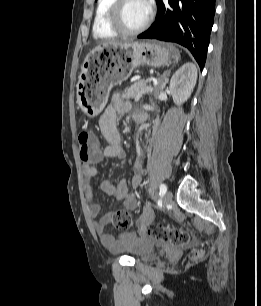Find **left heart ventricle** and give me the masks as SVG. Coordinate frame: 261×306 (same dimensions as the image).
<instances>
[{
  "instance_id": "1",
  "label": "left heart ventricle",
  "mask_w": 261,
  "mask_h": 306,
  "mask_svg": "<svg viewBox=\"0 0 261 306\" xmlns=\"http://www.w3.org/2000/svg\"><path fill=\"white\" fill-rule=\"evenodd\" d=\"M148 7L143 0H127L124 4L122 18L128 28L139 27L146 19Z\"/></svg>"
}]
</instances>
